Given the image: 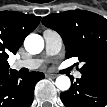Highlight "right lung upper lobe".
Returning a JSON list of instances; mask_svg holds the SVG:
<instances>
[{
  "label": "right lung upper lobe",
  "instance_id": "right-lung-upper-lobe-1",
  "mask_svg": "<svg viewBox=\"0 0 107 107\" xmlns=\"http://www.w3.org/2000/svg\"><path fill=\"white\" fill-rule=\"evenodd\" d=\"M40 19L20 12H0V73L9 71L8 54H16L25 37L38 26Z\"/></svg>",
  "mask_w": 107,
  "mask_h": 107
}]
</instances>
